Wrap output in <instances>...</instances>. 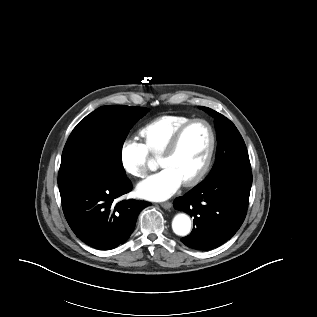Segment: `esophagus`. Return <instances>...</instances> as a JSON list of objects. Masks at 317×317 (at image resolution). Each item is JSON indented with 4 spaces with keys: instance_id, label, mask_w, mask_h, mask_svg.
I'll use <instances>...</instances> for the list:
<instances>
[{
    "instance_id": "esophagus-1",
    "label": "esophagus",
    "mask_w": 317,
    "mask_h": 317,
    "mask_svg": "<svg viewBox=\"0 0 317 317\" xmlns=\"http://www.w3.org/2000/svg\"><path fill=\"white\" fill-rule=\"evenodd\" d=\"M161 206L164 208V209H170L172 207V203L171 202H163L161 203Z\"/></svg>"
}]
</instances>
